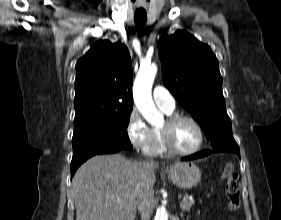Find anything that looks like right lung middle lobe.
Masks as SVG:
<instances>
[{"label":"right lung middle lobe","mask_w":281,"mask_h":220,"mask_svg":"<svg viewBox=\"0 0 281 220\" xmlns=\"http://www.w3.org/2000/svg\"><path fill=\"white\" fill-rule=\"evenodd\" d=\"M131 110L89 115L74 119L73 155L109 147L131 149L127 127Z\"/></svg>","instance_id":"dd1d6c3e"}]
</instances>
